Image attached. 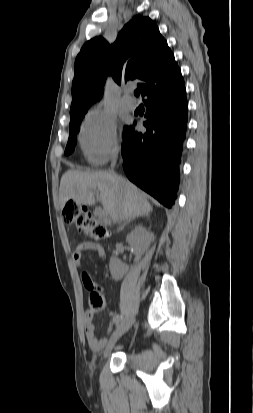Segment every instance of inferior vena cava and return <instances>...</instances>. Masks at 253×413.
<instances>
[{"instance_id": "obj_1", "label": "inferior vena cava", "mask_w": 253, "mask_h": 413, "mask_svg": "<svg viewBox=\"0 0 253 413\" xmlns=\"http://www.w3.org/2000/svg\"><path fill=\"white\" fill-rule=\"evenodd\" d=\"M117 157H118L117 154H115L112 158V163H111L112 168L114 167V165L116 163ZM110 174H111L114 182L116 183V185H118V177L114 173L113 169L111 170ZM110 217H111L113 222H118L121 219V205L120 204L118 205V208H117L116 212L111 214Z\"/></svg>"}]
</instances>
